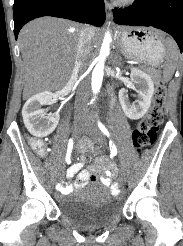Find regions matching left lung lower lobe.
<instances>
[{
    "instance_id": "0a47b994",
    "label": "left lung lower lobe",
    "mask_w": 183,
    "mask_h": 246,
    "mask_svg": "<svg viewBox=\"0 0 183 246\" xmlns=\"http://www.w3.org/2000/svg\"><path fill=\"white\" fill-rule=\"evenodd\" d=\"M119 25L150 26L169 33L183 51V0H135L124 9H114Z\"/></svg>"
}]
</instances>
